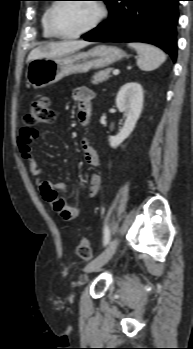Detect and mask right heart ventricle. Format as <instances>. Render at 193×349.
Returning <instances> with one entry per match:
<instances>
[{
	"label": "right heart ventricle",
	"instance_id": "1",
	"mask_svg": "<svg viewBox=\"0 0 193 349\" xmlns=\"http://www.w3.org/2000/svg\"><path fill=\"white\" fill-rule=\"evenodd\" d=\"M50 7H51V5L46 7L45 10L42 13V16H41V27H42L43 36L45 38H52V37H54L51 34V32L49 31L48 26H47V13H48V10H49Z\"/></svg>",
	"mask_w": 193,
	"mask_h": 349
}]
</instances>
